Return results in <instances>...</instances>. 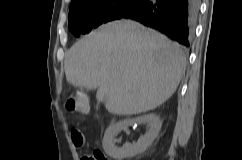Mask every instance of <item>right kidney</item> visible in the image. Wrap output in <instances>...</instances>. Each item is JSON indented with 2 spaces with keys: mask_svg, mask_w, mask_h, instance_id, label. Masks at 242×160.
Masks as SVG:
<instances>
[{
  "mask_svg": "<svg viewBox=\"0 0 242 160\" xmlns=\"http://www.w3.org/2000/svg\"><path fill=\"white\" fill-rule=\"evenodd\" d=\"M133 124H147L150 129L145 135L141 136L137 143H125L122 147L115 146V136L125 127ZM162 122L158 115L150 113L135 119H126L110 125L103 137V149L105 153L117 160L135 157L143 153L156 139L161 129Z\"/></svg>",
  "mask_w": 242,
  "mask_h": 160,
  "instance_id": "obj_1",
  "label": "right kidney"
}]
</instances>
